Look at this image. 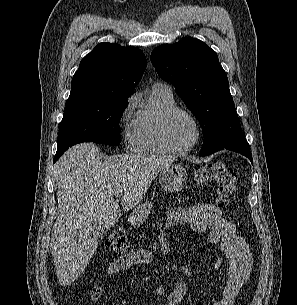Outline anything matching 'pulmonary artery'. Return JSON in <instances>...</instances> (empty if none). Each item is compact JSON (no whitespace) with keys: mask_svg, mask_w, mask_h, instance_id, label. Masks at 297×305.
Returning a JSON list of instances; mask_svg holds the SVG:
<instances>
[{"mask_svg":"<svg viewBox=\"0 0 297 305\" xmlns=\"http://www.w3.org/2000/svg\"><path fill=\"white\" fill-rule=\"evenodd\" d=\"M155 85L161 86V87H163L165 90H167L168 92L172 93L171 87H170L169 85H167V84L157 83V84H155Z\"/></svg>","mask_w":297,"mask_h":305,"instance_id":"obj_1","label":"pulmonary artery"}]
</instances>
